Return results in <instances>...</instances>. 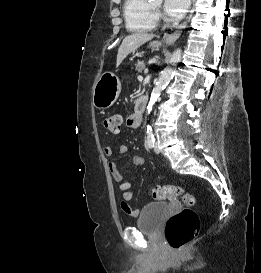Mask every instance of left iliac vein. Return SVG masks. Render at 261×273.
I'll return each instance as SVG.
<instances>
[{
	"mask_svg": "<svg viewBox=\"0 0 261 273\" xmlns=\"http://www.w3.org/2000/svg\"><path fill=\"white\" fill-rule=\"evenodd\" d=\"M154 151L156 152V153H160V149H159V147H158V144L155 142V144H154Z\"/></svg>",
	"mask_w": 261,
	"mask_h": 273,
	"instance_id": "left-iliac-vein-1",
	"label": "left iliac vein"
}]
</instances>
